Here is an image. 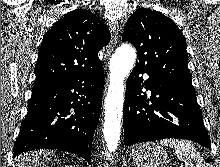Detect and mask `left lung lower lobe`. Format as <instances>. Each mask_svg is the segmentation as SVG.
<instances>
[{"label":"left lung lower lobe","mask_w":220,"mask_h":167,"mask_svg":"<svg viewBox=\"0 0 220 167\" xmlns=\"http://www.w3.org/2000/svg\"><path fill=\"white\" fill-rule=\"evenodd\" d=\"M141 73L149 75L145 83ZM143 88L151 91L150 98ZM123 115L125 146L181 138L211 149L191 81L168 79L135 66L126 83Z\"/></svg>","instance_id":"1"}]
</instances>
